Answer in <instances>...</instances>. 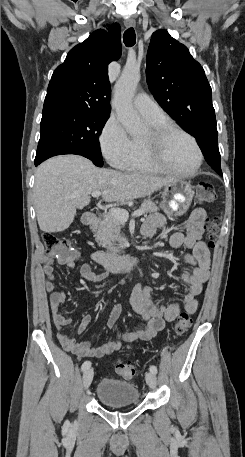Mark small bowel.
<instances>
[{
  "label": "small bowel",
  "instance_id": "small-bowel-1",
  "mask_svg": "<svg viewBox=\"0 0 245 457\" xmlns=\"http://www.w3.org/2000/svg\"><path fill=\"white\" fill-rule=\"evenodd\" d=\"M206 211L203 208H195L184 224V232H176L170 237V245L173 248L187 247L192 250L185 255V261L192 266L181 274L184 282L182 288L183 302H173L169 305L161 304L153 296L150 286L138 283L133 288L130 302L134 311L146 322L143 329H134L123 334L115 341H109L98 347H92L89 341L78 342L74 337L64 332L71 324V319L61 313V304L66 299L63 291L56 289V276L54 262L73 268L75 267L76 253L72 256L59 255L42 257L43 272L45 274V290L50 293V308L57 330V336L61 345L68 351L80 356L98 358L110 355L120 350L125 344L136 340L149 341L158 332L165 328L166 323L174 321L179 315L182 305L186 313L193 314L197 311V296L201 293L203 284L210 276V252L206 244L201 240L205 228ZM166 223L165 217L160 213L151 214L145 221L142 232L146 239L152 238L156 232ZM81 277L87 281L100 282L107 278V272H94L88 264L79 266ZM121 314V307L113 304L108 319V327L113 328ZM91 321L89 315H84L77 325V333H83Z\"/></svg>",
  "mask_w": 245,
  "mask_h": 457
}]
</instances>
